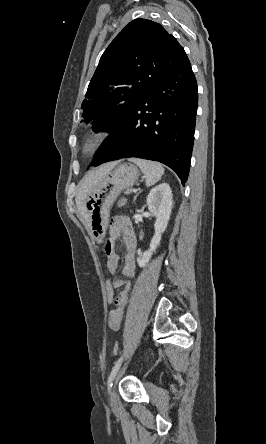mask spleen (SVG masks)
Here are the masks:
<instances>
[{
  "mask_svg": "<svg viewBox=\"0 0 266 444\" xmlns=\"http://www.w3.org/2000/svg\"><path fill=\"white\" fill-rule=\"evenodd\" d=\"M130 161L135 163L144 173L146 177V186L154 185L164 174V168L158 162L144 160L140 158H131Z\"/></svg>",
  "mask_w": 266,
  "mask_h": 444,
  "instance_id": "1",
  "label": "spleen"
}]
</instances>
